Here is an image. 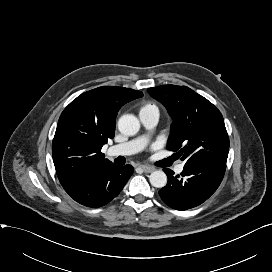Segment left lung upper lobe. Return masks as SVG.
I'll return each mask as SVG.
<instances>
[{
    "instance_id": "obj_1",
    "label": "left lung upper lobe",
    "mask_w": 272,
    "mask_h": 272,
    "mask_svg": "<svg viewBox=\"0 0 272 272\" xmlns=\"http://www.w3.org/2000/svg\"><path fill=\"white\" fill-rule=\"evenodd\" d=\"M172 117L167 148L186 164H226L229 138L220 111L206 98L186 86L149 88Z\"/></svg>"
}]
</instances>
